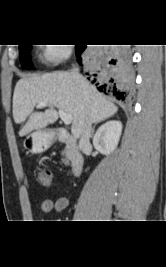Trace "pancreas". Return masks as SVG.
Listing matches in <instances>:
<instances>
[{
	"instance_id": "cf45deb5",
	"label": "pancreas",
	"mask_w": 166,
	"mask_h": 267,
	"mask_svg": "<svg viewBox=\"0 0 166 267\" xmlns=\"http://www.w3.org/2000/svg\"><path fill=\"white\" fill-rule=\"evenodd\" d=\"M66 158L63 160L64 163H68L69 159H70V155L68 154V149L66 148Z\"/></svg>"
}]
</instances>
